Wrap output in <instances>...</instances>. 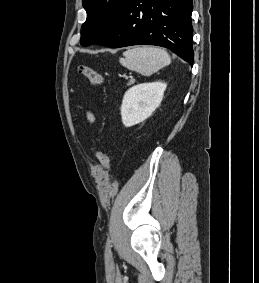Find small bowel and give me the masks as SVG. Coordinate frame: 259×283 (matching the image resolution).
Listing matches in <instances>:
<instances>
[{"label":"small bowel","instance_id":"small-bowel-1","mask_svg":"<svg viewBox=\"0 0 259 283\" xmlns=\"http://www.w3.org/2000/svg\"><path fill=\"white\" fill-rule=\"evenodd\" d=\"M88 119L91 120V121H93V120H94L93 115H92V114H88Z\"/></svg>","mask_w":259,"mask_h":283}]
</instances>
